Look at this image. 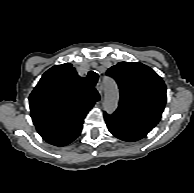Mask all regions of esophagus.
I'll return each mask as SVG.
<instances>
[{
	"instance_id": "1",
	"label": "esophagus",
	"mask_w": 194,
	"mask_h": 193,
	"mask_svg": "<svg viewBox=\"0 0 194 193\" xmlns=\"http://www.w3.org/2000/svg\"><path fill=\"white\" fill-rule=\"evenodd\" d=\"M97 91L100 94V96H102V83L101 82L97 83Z\"/></svg>"
}]
</instances>
